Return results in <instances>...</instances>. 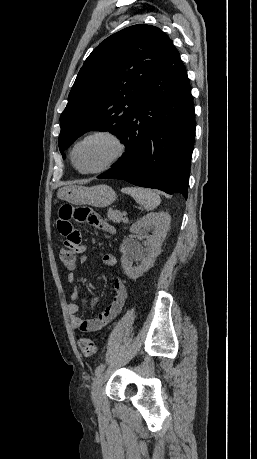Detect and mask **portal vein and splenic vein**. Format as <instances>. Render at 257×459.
Segmentation results:
<instances>
[{
	"instance_id": "portal-vein-and-splenic-vein-1",
	"label": "portal vein and splenic vein",
	"mask_w": 257,
	"mask_h": 459,
	"mask_svg": "<svg viewBox=\"0 0 257 459\" xmlns=\"http://www.w3.org/2000/svg\"><path fill=\"white\" fill-rule=\"evenodd\" d=\"M124 215H126V213H124ZM123 221H124V222H128V218L125 217V218L123 219Z\"/></svg>"
}]
</instances>
